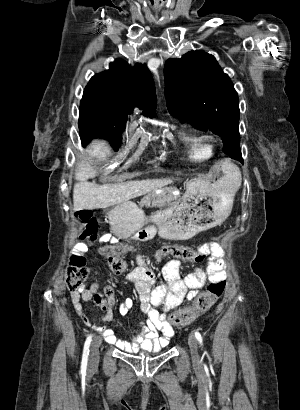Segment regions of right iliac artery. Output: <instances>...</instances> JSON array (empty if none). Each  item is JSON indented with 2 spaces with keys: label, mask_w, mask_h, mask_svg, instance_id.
Masks as SVG:
<instances>
[{
  "label": "right iliac artery",
  "mask_w": 300,
  "mask_h": 410,
  "mask_svg": "<svg viewBox=\"0 0 300 410\" xmlns=\"http://www.w3.org/2000/svg\"><path fill=\"white\" fill-rule=\"evenodd\" d=\"M92 341V335H89L85 341L84 344V349H83V355H82V363H81V369L86 370L87 367V360H88V355H89V347L90 343Z\"/></svg>",
  "instance_id": "right-iliac-artery-1"
}]
</instances>
